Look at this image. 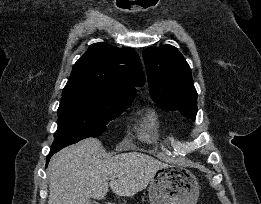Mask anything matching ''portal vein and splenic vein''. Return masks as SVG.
<instances>
[{
	"instance_id": "portal-vein-and-splenic-vein-1",
	"label": "portal vein and splenic vein",
	"mask_w": 261,
	"mask_h": 204,
	"mask_svg": "<svg viewBox=\"0 0 261 204\" xmlns=\"http://www.w3.org/2000/svg\"><path fill=\"white\" fill-rule=\"evenodd\" d=\"M115 178V176H112V177H110V180H113Z\"/></svg>"
}]
</instances>
